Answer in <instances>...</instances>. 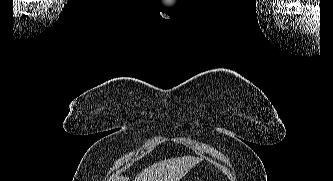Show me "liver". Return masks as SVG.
Here are the masks:
<instances>
[{"label":"liver","mask_w":333,"mask_h":181,"mask_svg":"<svg viewBox=\"0 0 333 181\" xmlns=\"http://www.w3.org/2000/svg\"><path fill=\"white\" fill-rule=\"evenodd\" d=\"M199 161L191 156L163 160L142 170L134 181H180ZM115 181H129V178L116 177Z\"/></svg>","instance_id":"1"}]
</instances>
